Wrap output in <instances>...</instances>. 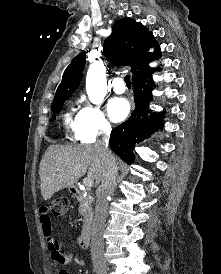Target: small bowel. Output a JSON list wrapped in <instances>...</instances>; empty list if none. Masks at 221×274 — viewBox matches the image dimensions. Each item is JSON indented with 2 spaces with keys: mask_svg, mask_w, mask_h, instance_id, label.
I'll use <instances>...</instances> for the list:
<instances>
[{
  "mask_svg": "<svg viewBox=\"0 0 221 274\" xmlns=\"http://www.w3.org/2000/svg\"><path fill=\"white\" fill-rule=\"evenodd\" d=\"M39 219L43 235L46 239L47 249L51 255V259L61 265L68 264L71 260V256L63 251L58 239L55 236L54 223L47 207L40 208ZM78 264L82 266L84 262L79 260ZM59 274H69V272L64 268L59 271Z\"/></svg>",
  "mask_w": 221,
  "mask_h": 274,
  "instance_id": "1",
  "label": "small bowel"
}]
</instances>
